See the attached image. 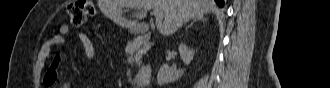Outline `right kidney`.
Returning a JSON list of instances; mask_svg holds the SVG:
<instances>
[{
  "label": "right kidney",
  "mask_w": 330,
  "mask_h": 88,
  "mask_svg": "<svg viewBox=\"0 0 330 88\" xmlns=\"http://www.w3.org/2000/svg\"><path fill=\"white\" fill-rule=\"evenodd\" d=\"M181 59L185 65H189L194 57L193 49H190L186 46L185 43H181L178 47ZM184 74L183 69H173L167 64H164L160 67L157 74V83L158 85H164L166 83L174 82L178 80Z\"/></svg>",
  "instance_id": "1"
}]
</instances>
